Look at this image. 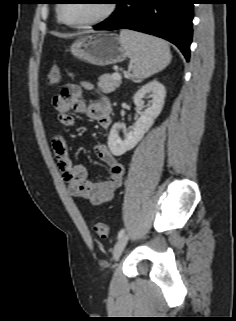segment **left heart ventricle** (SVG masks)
<instances>
[{"instance_id":"left-heart-ventricle-1","label":"left heart ventricle","mask_w":236,"mask_h":321,"mask_svg":"<svg viewBox=\"0 0 236 321\" xmlns=\"http://www.w3.org/2000/svg\"><path fill=\"white\" fill-rule=\"evenodd\" d=\"M106 4L105 0H72L64 4L62 12L70 22H84L99 17Z\"/></svg>"}]
</instances>
